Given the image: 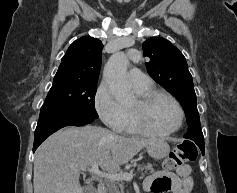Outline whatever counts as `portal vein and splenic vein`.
Wrapping results in <instances>:
<instances>
[{
    "label": "portal vein and splenic vein",
    "instance_id": "obj_1",
    "mask_svg": "<svg viewBox=\"0 0 237 193\" xmlns=\"http://www.w3.org/2000/svg\"><path fill=\"white\" fill-rule=\"evenodd\" d=\"M89 172L98 175L100 177L112 180V181H131L133 179V172H123V173H110V172H103L99 170V165L97 163L93 164L91 168L87 169ZM86 171V169H83Z\"/></svg>",
    "mask_w": 237,
    "mask_h": 193
}]
</instances>
